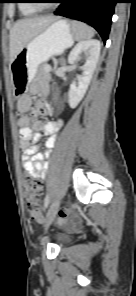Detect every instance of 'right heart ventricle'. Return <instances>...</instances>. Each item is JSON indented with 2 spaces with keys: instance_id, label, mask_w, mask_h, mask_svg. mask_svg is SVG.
I'll use <instances>...</instances> for the list:
<instances>
[{
  "instance_id": "obj_1",
  "label": "right heart ventricle",
  "mask_w": 136,
  "mask_h": 296,
  "mask_svg": "<svg viewBox=\"0 0 136 296\" xmlns=\"http://www.w3.org/2000/svg\"><path fill=\"white\" fill-rule=\"evenodd\" d=\"M19 8L23 15H34L38 12V9L30 3V0H22Z\"/></svg>"
}]
</instances>
